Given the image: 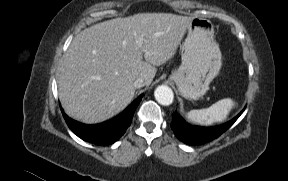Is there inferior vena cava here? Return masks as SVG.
Wrapping results in <instances>:
<instances>
[{"label":"inferior vena cava","instance_id":"1","mask_svg":"<svg viewBox=\"0 0 288 181\" xmlns=\"http://www.w3.org/2000/svg\"><path fill=\"white\" fill-rule=\"evenodd\" d=\"M133 86L135 88H142L145 86V81L143 78H137L134 82H133Z\"/></svg>","mask_w":288,"mask_h":181}]
</instances>
